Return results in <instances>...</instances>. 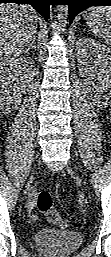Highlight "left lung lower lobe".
<instances>
[{"mask_svg": "<svg viewBox=\"0 0 111 257\" xmlns=\"http://www.w3.org/2000/svg\"><path fill=\"white\" fill-rule=\"evenodd\" d=\"M70 23L81 11L90 6H111V0H69Z\"/></svg>", "mask_w": 111, "mask_h": 257, "instance_id": "left-lung-lower-lobe-1", "label": "left lung lower lobe"}]
</instances>
